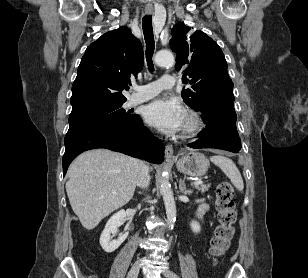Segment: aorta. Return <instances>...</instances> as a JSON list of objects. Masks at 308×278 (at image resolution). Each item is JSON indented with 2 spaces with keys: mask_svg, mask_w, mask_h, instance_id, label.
<instances>
[{
  "mask_svg": "<svg viewBox=\"0 0 308 278\" xmlns=\"http://www.w3.org/2000/svg\"><path fill=\"white\" fill-rule=\"evenodd\" d=\"M155 63L158 66H170L174 63V56L170 51H159L155 56ZM160 190L163 196L169 227L173 228L176 220V204L171 186L166 179L161 181Z\"/></svg>",
  "mask_w": 308,
  "mask_h": 278,
  "instance_id": "762f6f07",
  "label": "aorta"
}]
</instances>
